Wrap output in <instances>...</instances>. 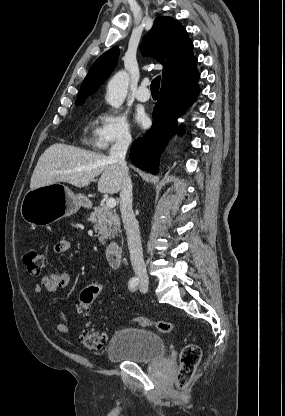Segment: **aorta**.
I'll list each match as a JSON object with an SVG mask.
<instances>
[{
    "mask_svg": "<svg viewBox=\"0 0 285 416\" xmlns=\"http://www.w3.org/2000/svg\"><path fill=\"white\" fill-rule=\"evenodd\" d=\"M129 76L125 71L117 72L107 86V102L115 108H119L127 95Z\"/></svg>",
    "mask_w": 285,
    "mask_h": 416,
    "instance_id": "1",
    "label": "aorta"
}]
</instances>
